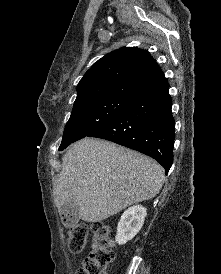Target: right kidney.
Masks as SVG:
<instances>
[{
    "mask_svg": "<svg viewBox=\"0 0 221 274\" xmlns=\"http://www.w3.org/2000/svg\"><path fill=\"white\" fill-rule=\"evenodd\" d=\"M146 215V208L141 205L128 208L122 214L118 223L116 242L119 245H123L127 241L132 240L142 228Z\"/></svg>",
    "mask_w": 221,
    "mask_h": 274,
    "instance_id": "obj_1",
    "label": "right kidney"
}]
</instances>
